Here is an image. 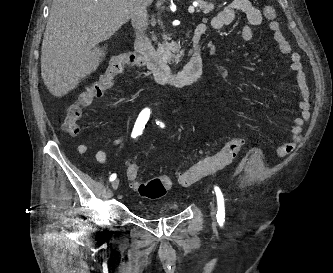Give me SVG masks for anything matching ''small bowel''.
Returning <instances> with one entry per match:
<instances>
[{"instance_id": "1", "label": "small bowel", "mask_w": 333, "mask_h": 273, "mask_svg": "<svg viewBox=\"0 0 333 273\" xmlns=\"http://www.w3.org/2000/svg\"><path fill=\"white\" fill-rule=\"evenodd\" d=\"M236 12H241L246 17L247 24L241 28L240 34L245 42H250L253 39V31L251 27L260 25L264 19H267V16L266 12L251 5L249 0H232L218 11V13L211 19L210 22L202 23L198 26L201 27L203 32L209 28L222 29L233 23L235 20ZM269 29L272 32L275 41L278 43L280 52L290 55V68L296 75L300 93V114L299 117L293 121L291 138L289 141L281 145L277 151L279 156H284L291 153L301 139L304 122L309 117L310 92L306 83V75L300 61L301 57L299 53L292 52L291 45L282 34L278 22L270 23ZM77 150L80 155L86 156L89 150L88 143L80 144ZM95 157L96 160L101 164H107L108 162V157L105 151L102 149H99L96 152Z\"/></svg>"}]
</instances>
